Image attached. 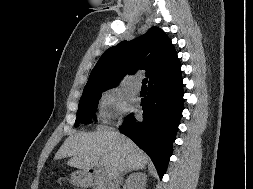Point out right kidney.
<instances>
[{"instance_id": "obj_1", "label": "right kidney", "mask_w": 253, "mask_h": 189, "mask_svg": "<svg viewBox=\"0 0 253 189\" xmlns=\"http://www.w3.org/2000/svg\"><path fill=\"white\" fill-rule=\"evenodd\" d=\"M134 177V179L131 181V177ZM147 176L143 173H134L131 174L130 177L127 180V189H145L146 187V178Z\"/></svg>"}]
</instances>
